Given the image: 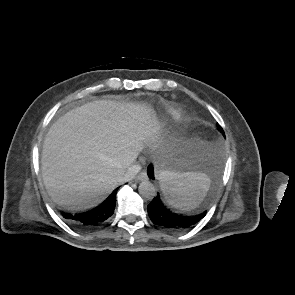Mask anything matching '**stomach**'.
<instances>
[{
    "mask_svg": "<svg viewBox=\"0 0 295 295\" xmlns=\"http://www.w3.org/2000/svg\"><path fill=\"white\" fill-rule=\"evenodd\" d=\"M208 147L201 141H188L178 151L172 153L161 165L160 170L175 174L203 173L209 167L205 154ZM165 196H167L165 194Z\"/></svg>",
    "mask_w": 295,
    "mask_h": 295,
    "instance_id": "0dacf381",
    "label": "stomach"
}]
</instances>
